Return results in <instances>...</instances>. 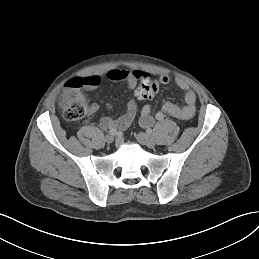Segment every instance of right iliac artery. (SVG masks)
<instances>
[{
    "instance_id": "1",
    "label": "right iliac artery",
    "mask_w": 259,
    "mask_h": 259,
    "mask_svg": "<svg viewBox=\"0 0 259 259\" xmlns=\"http://www.w3.org/2000/svg\"><path fill=\"white\" fill-rule=\"evenodd\" d=\"M109 133L111 135H116L117 134L116 129H114V128H110Z\"/></svg>"
}]
</instances>
